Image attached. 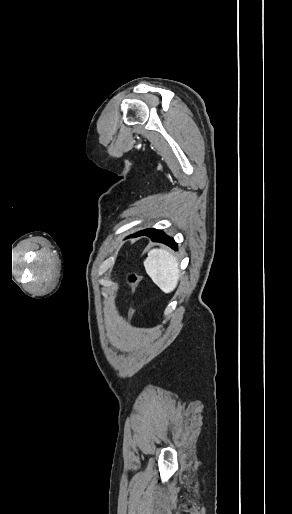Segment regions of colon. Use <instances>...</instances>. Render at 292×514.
Instances as JSON below:
<instances>
[{"label": "colon", "mask_w": 292, "mask_h": 514, "mask_svg": "<svg viewBox=\"0 0 292 514\" xmlns=\"http://www.w3.org/2000/svg\"><path fill=\"white\" fill-rule=\"evenodd\" d=\"M141 281V275L137 272H131L128 274L126 278L127 286L130 289L131 298L128 302L129 310H128V317H131L134 312V305H135V296L137 292L138 285Z\"/></svg>", "instance_id": "colon-1"}]
</instances>
